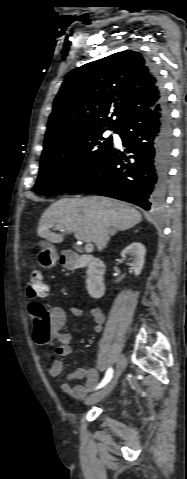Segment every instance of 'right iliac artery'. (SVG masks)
I'll return each instance as SVG.
<instances>
[{
  "mask_svg": "<svg viewBox=\"0 0 187 479\" xmlns=\"http://www.w3.org/2000/svg\"><path fill=\"white\" fill-rule=\"evenodd\" d=\"M112 376H113V369L109 368L106 372V375H105L104 379L98 385L97 389L102 388L103 386H105L111 380Z\"/></svg>",
  "mask_w": 187,
  "mask_h": 479,
  "instance_id": "1",
  "label": "right iliac artery"
}]
</instances>
